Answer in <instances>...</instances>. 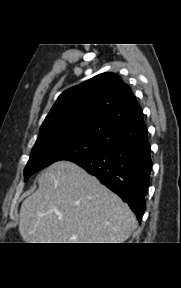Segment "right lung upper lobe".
I'll return each instance as SVG.
<instances>
[{
  "instance_id": "cb5924a9",
  "label": "right lung upper lobe",
  "mask_w": 181,
  "mask_h": 288,
  "mask_svg": "<svg viewBox=\"0 0 181 288\" xmlns=\"http://www.w3.org/2000/svg\"><path fill=\"white\" fill-rule=\"evenodd\" d=\"M80 136L107 149L147 141L143 113L130 87L107 72L64 91L37 139Z\"/></svg>"
}]
</instances>
